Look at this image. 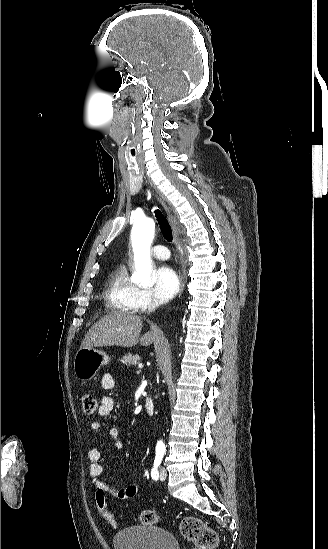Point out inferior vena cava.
I'll list each match as a JSON object with an SVG mask.
<instances>
[{"mask_svg": "<svg viewBox=\"0 0 328 549\" xmlns=\"http://www.w3.org/2000/svg\"><path fill=\"white\" fill-rule=\"evenodd\" d=\"M161 301H158V299H152V303H149L147 305V313H153V311H156L157 307H160Z\"/></svg>", "mask_w": 328, "mask_h": 549, "instance_id": "obj_1", "label": "inferior vena cava"}]
</instances>
